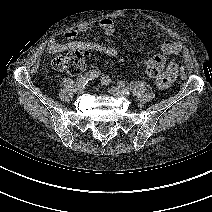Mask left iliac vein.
<instances>
[{"instance_id": "obj_1", "label": "left iliac vein", "mask_w": 212, "mask_h": 212, "mask_svg": "<svg viewBox=\"0 0 212 212\" xmlns=\"http://www.w3.org/2000/svg\"><path fill=\"white\" fill-rule=\"evenodd\" d=\"M108 91L114 97H124V98L128 97V94H125L114 87L109 88Z\"/></svg>"}]
</instances>
